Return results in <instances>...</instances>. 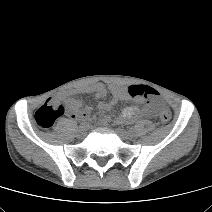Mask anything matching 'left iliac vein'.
<instances>
[{
    "label": "left iliac vein",
    "instance_id": "obj_1",
    "mask_svg": "<svg viewBox=\"0 0 212 212\" xmlns=\"http://www.w3.org/2000/svg\"><path fill=\"white\" fill-rule=\"evenodd\" d=\"M117 134L119 135V137L123 140H129L131 138V133H129L128 131L124 130L123 128H117L116 129Z\"/></svg>",
    "mask_w": 212,
    "mask_h": 212
}]
</instances>
